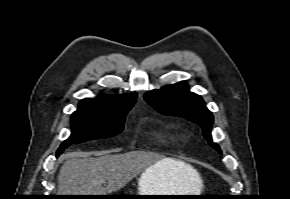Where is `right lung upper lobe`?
<instances>
[{
    "mask_svg": "<svg viewBox=\"0 0 290 199\" xmlns=\"http://www.w3.org/2000/svg\"><path fill=\"white\" fill-rule=\"evenodd\" d=\"M136 101V93L117 96L102 95L98 99H83L76 112L94 114L127 113Z\"/></svg>",
    "mask_w": 290,
    "mask_h": 199,
    "instance_id": "right-lung-upper-lobe-1",
    "label": "right lung upper lobe"
}]
</instances>
